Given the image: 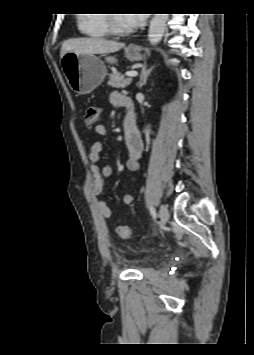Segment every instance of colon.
Here are the masks:
<instances>
[{
	"label": "colon",
	"instance_id": "1",
	"mask_svg": "<svg viewBox=\"0 0 254 355\" xmlns=\"http://www.w3.org/2000/svg\"><path fill=\"white\" fill-rule=\"evenodd\" d=\"M100 117V109L97 106H89L84 113V122L88 128L96 127ZM116 232L119 237L123 239L131 238L133 235V230L129 225H118Z\"/></svg>",
	"mask_w": 254,
	"mask_h": 355
}]
</instances>
